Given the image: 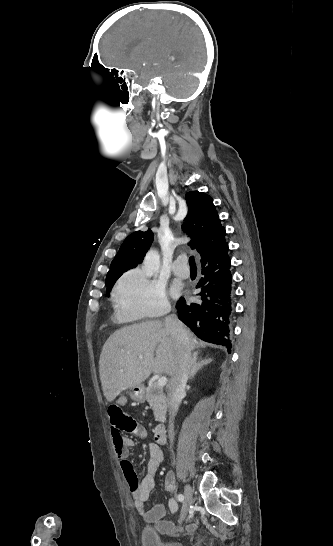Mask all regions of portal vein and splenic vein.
I'll return each mask as SVG.
<instances>
[{
    "mask_svg": "<svg viewBox=\"0 0 333 546\" xmlns=\"http://www.w3.org/2000/svg\"><path fill=\"white\" fill-rule=\"evenodd\" d=\"M142 357L140 356L139 359H141ZM167 384V378L166 376H161L158 378L157 380V385L160 386V387H164L165 385Z\"/></svg>",
    "mask_w": 333,
    "mask_h": 546,
    "instance_id": "portal-vein-and-splenic-vein-1",
    "label": "portal vein and splenic vein"
}]
</instances>
